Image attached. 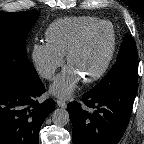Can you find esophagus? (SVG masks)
Instances as JSON below:
<instances>
[{
    "mask_svg": "<svg viewBox=\"0 0 144 144\" xmlns=\"http://www.w3.org/2000/svg\"><path fill=\"white\" fill-rule=\"evenodd\" d=\"M57 105L61 108H66L67 107V103L64 100H57Z\"/></svg>",
    "mask_w": 144,
    "mask_h": 144,
    "instance_id": "obj_1",
    "label": "esophagus"
}]
</instances>
